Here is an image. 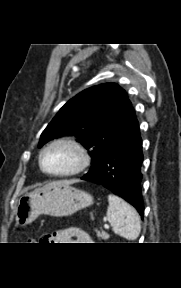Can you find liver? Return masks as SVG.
<instances>
[{
	"label": "liver",
	"instance_id": "1",
	"mask_svg": "<svg viewBox=\"0 0 181 288\" xmlns=\"http://www.w3.org/2000/svg\"><path fill=\"white\" fill-rule=\"evenodd\" d=\"M66 182H68V183H73V182H75V181H66Z\"/></svg>",
	"mask_w": 181,
	"mask_h": 288
}]
</instances>
